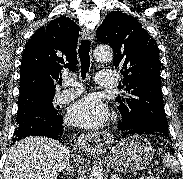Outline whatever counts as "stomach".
<instances>
[{
  "label": "stomach",
  "instance_id": "stomach-1",
  "mask_svg": "<svg viewBox=\"0 0 183 179\" xmlns=\"http://www.w3.org/2000/svg\"><path fill=\"white\" fill-rule=\"evenodd\" d=\"M150 142L141 135L129 136L117 142L109 152L111 167L119 172L145 169L153 158Z\"/></svg>",
  "mask_w": 183,
  "mask_h": 179
}]
</instances>
